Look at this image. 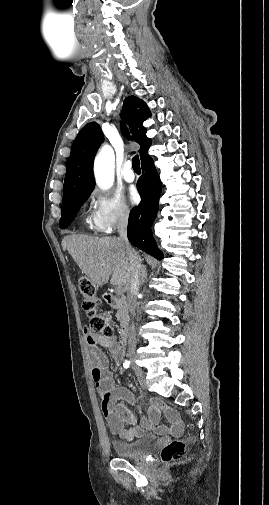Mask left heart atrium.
<instances>
[{
    "mask_svg": "<svg viewBox=\"0 0 269 505\" xmlns=\"http://www.w3.org/2000/svg\"><path fill=\"white\" fill-rule=\"evenodd\" d=\"M129 200L131 203H136L138 201V193L134 188L129 190L128 194Z\"/></svg>",
    "mask_w": 269,
    "mask_h": 505,
    "instance_id": "39dd6f15",
    "label": "left heart atrium"
}]
</instances>
